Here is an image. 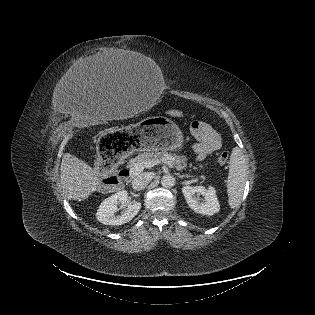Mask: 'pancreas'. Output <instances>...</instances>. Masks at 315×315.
I'll use <instances>...</instances> for the list:
<instances>
[{"mask_svg": "<svg viewBox=\"0 0 315 315\" xmlns=\"http://www.w3.org/2000/svg\"><path fill=\"white\" fill-rule=\"evenodd\" d=\"M166 159L170 161L177 170H183L187 167V159L184 156L171 154L167 151L146 152L137 155L129 161L128 168L134 167L138 163H145L152 160Z\"/></svg>", "mask_w": 315, "mask_h": 315, "instance_id": "obj_1", "label": "pancreas"}]
</instances>
